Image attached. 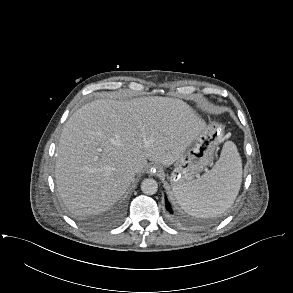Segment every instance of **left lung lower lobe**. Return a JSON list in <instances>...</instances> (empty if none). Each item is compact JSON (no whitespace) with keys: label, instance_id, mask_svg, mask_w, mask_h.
Listing matches in <instances>:
<instances>
[{"label":"left lung lower lobe","instance_id":"obj_1","mask_svg":"<svg viewBox=\"0 0 293 293\" xmlns=\"http://www.w3.org/2000/svg\"><path fill=\"white\" fill-rule=\"evenodd\" d=\"M165 202H166V209H167L170 213H172L171 206H170L168 200L165 199Z\"/></svg>","mask_w":293,"mask_h":293}]
</instances>
